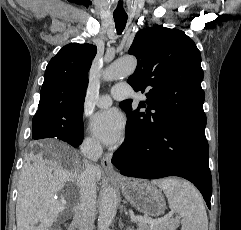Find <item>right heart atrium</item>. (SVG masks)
I'll use <instances>...</instances> for the list:
<instances>
[{
  "label": "right heart atrium",
  "mask_w": 241,
  "mask_h": 230,
  "mask_svg": "<svg viewBox=\"0 0 241 230\" xmlns=\"http://www.w3.org/2000/svg\"><path fill=\"white\" fill-rule=\"evenodd\" d=\"M82 149L88 155H95L100 151V145L91 137H84L82 140Z\"/></svg>",
  "instance_id": "d8ad5b80"
}]
</instances>
